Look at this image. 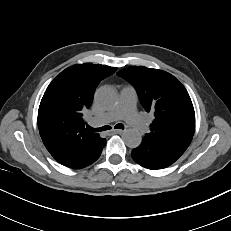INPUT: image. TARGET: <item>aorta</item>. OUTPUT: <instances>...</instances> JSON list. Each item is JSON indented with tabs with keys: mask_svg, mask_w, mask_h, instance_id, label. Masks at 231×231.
Segmentation results:
<instances>
[{
	"mask_svg": "<svg viewBox=\"0 0 231 231\" xmlns=\"http://www.w3.org/2000/svg\"><path fill=\"white\" fill-rule=\"evenodd\" d=\"M95 100L101 107H111L117 101L116 91L110 86H103L97 90ZM122 138L130 148L138 147L142 141L141 134L137 130H126Z\"/></svg>",
	"mask_w": 231,
	"mask_h": 231,
	"instance_id": "aorta-1",
	"label": "aorta"
}]
</instances>
